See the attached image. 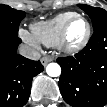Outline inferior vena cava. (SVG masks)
<instances>
[{"label": "inferior vena cava", "instance_id": "602c4592", "mask_svg": "<svg viewBox=\"0 0 107 107\" xmlns=\"http://www.w3.org/2000/svg\"><path fill=\"white\" fill-rule=\"evenodd\" d=\"M19 54L31 60H39L41 57L38 51L27 45H21L19 47Z\"/></svg>", "mask_w": 107, "mask_h": 107}]
</instances>
